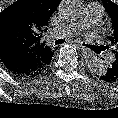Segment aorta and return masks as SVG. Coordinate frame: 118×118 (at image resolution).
Here are the masks:
<instances>
[{"label":"aorta","instance_id":"aorta-1","mask_svg":"<svg viewBox=\"0 0 118 118\" xmlns=\"http://www.w3.org/2000/svg\"><path fill=\"white\" fill-rule=\"evenodd\" d=\"M59 13L66 21H77L81 17L82 10L77 0H66L60 6ZM87 66L91 73L99 76L107 70L105 62L97 57L90 59Z\"/></svg>","mask_w":118,"mask_h":118}]
</instances>
